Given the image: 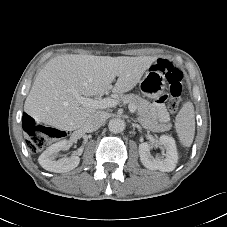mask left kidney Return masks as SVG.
Here are the masks:
<instances>
[{
  "mask_svg": "<svg viewBox=\"0 0 227 227\" xmlns=\"http://www.w3.org/2000/svg\"><path fill=\"white\" fill-rule=\"evenodd\" d=\"M158 142L166 149L164 158H154L150 153L151 145L153 143L144 142L139 145V155L142 164L150 170H160L163 172L173 171L178 161L175 140L170 136L162 135Z\"/></svg>",
  "mask_w": 227,
  "mask_h": 227,
  "instance_id": "left-kidney-1",
  "label": "left kidney"
}]
</instances>
